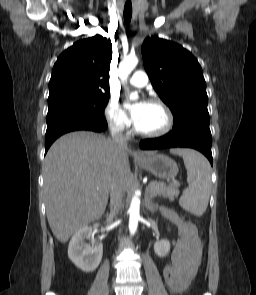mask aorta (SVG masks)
Returning <instances> with one entry per match:
<instances>
[{
  "instance_id": "1",
  "label": "aorta",
  "mask_w": 256,
  "mask_h": 295,
  "mask_svg": "<svg viewBox=\"0 0 256 295\" xmlns=\"http://www.w3.org/2000/svg\"><path fill=\"white\" fill-rule=\"evenodd\" d=\"M138 64V58L136 56L125 57L119 65V76L123 83L127 81L129 74ZM130 100L138 99L136 92L131 93L129 96ZM129 231L131 235H134L137 231L138 221L140 218V198L137 193L132 197L130 208H129Z\"/></svg>"
}]
</instances>
